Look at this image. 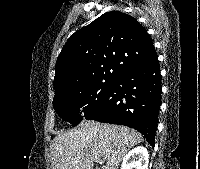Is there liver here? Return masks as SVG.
<instances>
[{"label": "liver", "mask_w": 200, "mask_h": 169, "mask_svg": "<svg viewBox=\"0 0 200 169\" xmlns=\"http://www.w3.org/2000/svg\"><path fill=\"white\" fill-rule=\"evenodd\" d=\"M143 141L136 130L125 126L84 121L77 128L58 134L51 148L52 169H118L127 152Z\"/></svg>", "instance_id": "liver-1"}]
</instances>
